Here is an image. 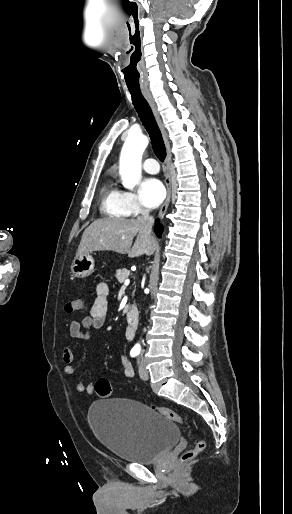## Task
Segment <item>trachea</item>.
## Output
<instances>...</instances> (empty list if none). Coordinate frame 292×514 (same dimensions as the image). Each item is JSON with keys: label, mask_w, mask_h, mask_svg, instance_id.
Here are the masks:
<instances>
[{"label": "trachea", "mask_w": 292, "mask_h": 514, "mask_svg": "<svg viewBox=\"0 0 292 514\" xmlns=\"http://www.w3.org/2000/svg\"><path fill=\"white\" fill-rule=\"evenodd\" d=\"M133 105L135 107L138 116L145 129L147 130L152 144V149L157 158L163 162L167 156L166 147L161 135V131L157 125V122L153 116L150 105L147 100L143 97L140 90L129 89Z\"/></svg>", "instance_id": "trachea-1"}]
</instances>
